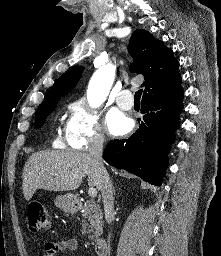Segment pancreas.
<instances>
[{
    "label": "pancreas",
    "instance_id": "obj_1",
    "mask_svg": "<svg viewBox=\"0 0 221 256\" xmlns=\"http://www.w3.org/2000/svg\"><path fill=\"white\" fill-rule=\"evenodd\" d=\"M82 216L84 218L82 221V233H86L87 230L90 234L89 238L93 239L94 235L102 232L103 215L93 200H89L85 203Z\"/></svg>",
    "mask_w": 221,
    "mask_h": 256
}]
</instances>
